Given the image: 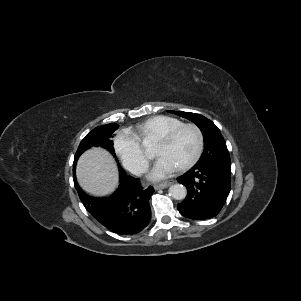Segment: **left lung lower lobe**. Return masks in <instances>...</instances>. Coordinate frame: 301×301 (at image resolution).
Here are the masks:
<instances>
[{
	"mask_svg": "<svg viewBox=\"0 0 301 301\" xmlns=\"http://www.w3.org/2000/svg\"><path fill=\"white\" fill-rule=\"evenodd\" d=\"M177 181L187 188L185 200L177 205L179 212L193 220L215 217L230 192L231 166L225 164L195 165Z\"/></svg>",
	"mask_w": 301,
	"mask_h": 301,
	"instance_id": "obj_1",
	"label": "left lung lower lobe"
}]
</instances>
